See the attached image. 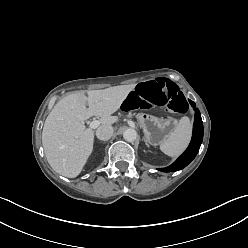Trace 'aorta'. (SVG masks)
Segmentation results:
<instances>
[{
	"label": "aorta",
	"instance_id": "obj_1",
	"mask_svg": "<svg viewBox=\"0 0 248 248\" xmlns=\"http://www.w3.org/2000/svg\"><path fill=\"white\" fill-rule=\"evenodd\" d=\"M123 137L126 141L128 142H133L136 140L137 138V132L136 130L132 129V128H128L124 131L123 133Z\"/></svg>",
	"mask_w": 248,
	"mask_h": 248
}]
</instances>
